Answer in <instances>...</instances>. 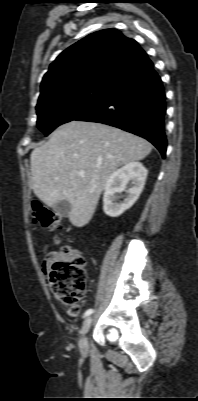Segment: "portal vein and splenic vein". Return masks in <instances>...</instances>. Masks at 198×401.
<instances>
[{
  "label": "portal vein and splenic vein",
  "instance_id": "1",
  "mask_svg": "<svg viewBox=\"0 0 198 401\" xmlns=\"http://www.w3.org/2000/svg\"><path fill=\"white\" fill-rule=\"evenodd\" d=\"M78 175H79L80 177H84L85 172H84V171H79V172H78Z\"/></svg>",
  "mask_w": 198,
  "mask_h": 401
}]
</instances>
